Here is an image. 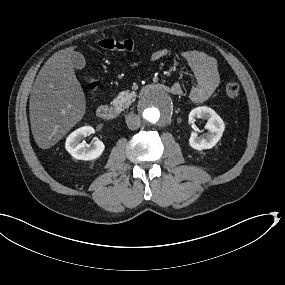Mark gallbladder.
I'll return each mask as SVG.
<instances>
[{"label": "gallbladder", "instance_id": "1", "mask_svg": "<svg viewBox=\"0 0 285 285\" xmlns=\"http://www.w3.org/2000/svg\"><path fill=\"white\" fill-rule=\"evenodd\" d=\"M72 63H73V68L82 70L86 67V60L84 56L79 53V52H74L72 54Z\"/></svg>", "mask_w": 285, "mask_h": 285}]
</instances>
